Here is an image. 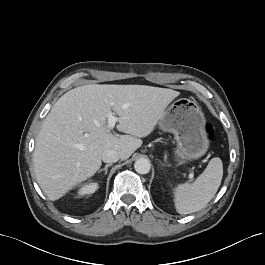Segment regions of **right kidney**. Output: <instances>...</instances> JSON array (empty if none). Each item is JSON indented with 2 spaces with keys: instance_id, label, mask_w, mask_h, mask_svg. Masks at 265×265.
<instances>
[{
  "instance_id": "ca27d5eb",
  "label": "right kidney",
  "mask_w": 265,
  "mask_h": 265,
  "mask_svg": "<svg viewBox=\"0 0 265 265\" xmlns=\"http://www.w3.org/2000/svg\"><path fill=\"white\" fill-rule=\"evenodd\" d=\"M98 189V184L95 182L85 184L83 185L79 190L78 194L80 196L87 195V194H92Z\"/></svg>"
}]
</instances>
